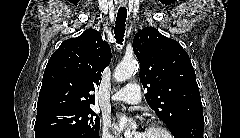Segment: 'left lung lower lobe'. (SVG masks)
<instances>
[{"label": "left lung lower lobe", "instance_id": "obj_1", "mask_svg": "<svg viewBox=\"0 0 240 138\" xmlns=\"http://www.w3.org/2000/svg\"><path fill=\"white\" fill-rule=\"evenodd\" d=\"M204 119L190 121L180 126L174 133L175 138H203Z\"/></svg>", "mask_w": 240, "mask_h": 138}]
</instances>
